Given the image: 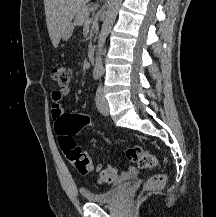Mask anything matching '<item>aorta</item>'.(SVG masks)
I'll return each mask as SVG.
<instances>
[{"instance_id":"obj_1","label":"aorta","mask_w":216,"mask_h":217,"mask_svg":"<svg viewBox=\"0 0 216 217\" xmlns=\"http://www.w3.org/2000/svg\"><path fill=\"white\" fill-rule=\"evenodd\" d=\"M121 3L122 0H108V9L98 38L96 61L93 70V74L96 76H101L104 73L102 60L103 47L116 19Z\"/></svg>"}]
</instances>
